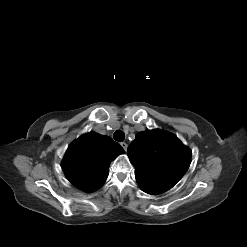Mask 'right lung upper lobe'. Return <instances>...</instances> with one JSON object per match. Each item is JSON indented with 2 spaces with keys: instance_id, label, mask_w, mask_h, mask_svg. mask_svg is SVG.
I'll return each mask as SVG.
<instances>
[{
  "instance_id": "obj_1",
  "label": "right lung upper lobe",
  "mask_w": 247,
  "mask_h": 247,
  "mask_svg": "<svg viewBox=\"0 0 247 247\" xmlns=\"http://www.w3.org/2000/svg\"><path fill=\"white\" fill-rule=\"evenodd\" d=\"M122 153L123 148L110 137L90 132L68 147L61 166L77 188L94 191L108 177L110 162Z\"/></svg>"
}]
</instances>
